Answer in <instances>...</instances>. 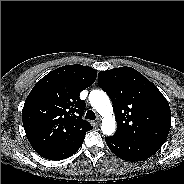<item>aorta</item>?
Wrapping results in <instances>:
<instances>
[{
    "instance_id": "762f6f07",
    "label": "aorta",
    "mask_w": 184,
    "mask_h": 184,
    "mask_svg": "<svg viewBox=\"0 0 184 184\" xmlns=\"http://www.w3.org/2000/svg\"><path fill=\"white\" fill-rule=\"evenodd\" d=\"M89 101L91 106L103 116L102 132L105 135H112L116 130V122L113 117V109L109 97L104 91L93 90L90 92Z\"/></svg>"
}]
</instances>
